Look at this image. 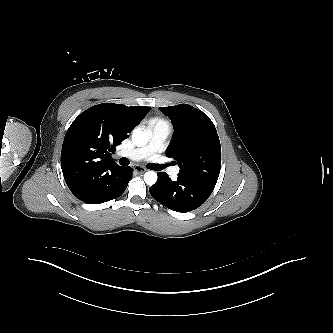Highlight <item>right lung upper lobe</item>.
I'll return each instance as SVG.
<instances>
[{
    "label": "right lung upper lobe",
    "instance_id": "1",
    "mask_svg": "<svg viewBox=\"0 0 333 333\" xmlns=\"http://www.w3.org/2000/svg\"><path fill=\"white\" fill-rule=\"evenodd\" d=\"M149 110L145 106L103 103L73 121L63 141L61 168L66 184L77 198L120 168L111 153Z\"/></svg>",
    "mask_w": 333,
    "mask_h": 333
}]
</instances>
